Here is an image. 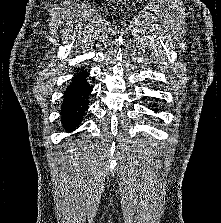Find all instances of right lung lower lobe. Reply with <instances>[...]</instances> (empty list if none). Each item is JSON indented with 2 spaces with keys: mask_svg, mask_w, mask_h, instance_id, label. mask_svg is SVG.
<instances>
[{
  "mask_svg": "<svg viewBox=\"0 0 221 223\" xmlns=\"http://www.w3.org/2000/svg\"><path fill=\"white\" fill-rule=\"evenodd\" d=\"M87 77L86 71L79 72L64 92L61 115L63 127L67 130H75L88 109L87 98L92 88L85 80Z\"/></svg>",
  "mask_w": 221,
  "mask_h": 223,
  "instance_id": "1",
  "label": "right lung lower lobe"
}]
</instances>
